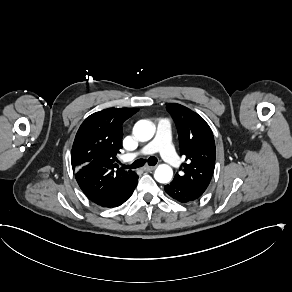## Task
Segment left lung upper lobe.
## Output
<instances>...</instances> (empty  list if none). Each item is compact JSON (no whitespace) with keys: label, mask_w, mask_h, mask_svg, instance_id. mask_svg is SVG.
Instances as JSON below:
<instances>
[{"label":"left lung upper lobe","mask_w":292,"mask_h":292,"mask_svg":"<svg viewBox=\"0 0 292 292\" xmlns=\"http://www.w3.org/2000/svg\"><path fill=\"white\" fill-rule=\"evenodd\" d=\"M166 109L176 124L180 154L186 161L173 181L204 193L212 179L216 159L211 128L200 115L183 105L168 104Z\"/></svg>","instance_id":"5c2ea615"}]
</instances>
